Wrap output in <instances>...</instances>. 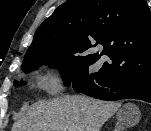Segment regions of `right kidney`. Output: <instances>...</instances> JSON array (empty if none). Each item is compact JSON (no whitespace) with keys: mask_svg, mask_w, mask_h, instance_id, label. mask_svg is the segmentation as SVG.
Listing matches in <instances>:
<instances>
[{"mask_svg":"<svg viewBox=\"0 0 151 131\" xmlns=\"http://www.w3.org/2000/svg\"><path fill=\"white\" fill-rule=\"evenodd\" d=\"M136 111H138L137 109H135L134 110V114H135V112ZM139 112V111H138ZM136 115V114H135ZM139 115H140V113H139ZM135 120V122H137L138 121V118H137V115L135 116V118L133 119V118H129V119H127L126 120V124H132V122Z\"/></svg>","mask_w":151,"mask_h":131,"instance_id":"right-kidney-1","label":"right kidney"}]
</instances>
